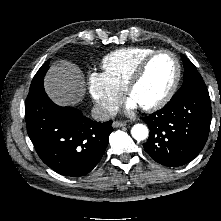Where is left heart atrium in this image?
Returning <instances> with one entry per match:
<instances>
[{
    "instance_id": "obj_1",
    "label": "left heart atrium",
    "mask_w": 221,
    "mask_h": 221,
    "mask_svg": "<svg viewBox=\"0 0 221 221\" xmlns=\"http://www.w3.org/2000/svg\"><path fill=\"white\" fill-rule=\"evenodd\" d=\"M138 105L139 104L133 98H129L126 106L129 110H131L136 108Z\"/></svg>"
}]
</instances>
